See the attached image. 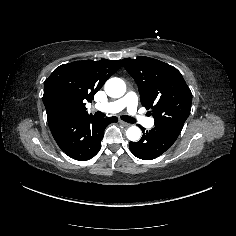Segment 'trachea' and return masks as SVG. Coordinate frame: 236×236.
I'll use <instances>...</instances> for the list:
<instances>
[{
	"instance_id": "3493384b",
	"label": "trachea",
	"mask_w": 236,
	"mask_h": 236,
	"mask_svg": "<svg viewBox=\"0 0 236 236\" xmlns=\"http://www.w3.org/2000/svg\"><path fill=\"white\" fill-rule=\"evenodd\" d=\"M95 116H96V117L103 118V117H105V114L98 111V112L95 113ZM121 119H122L123 121H126L127 123H135V122H136V119H135V118L130 117V116H128V115H122V116H121Z\"/></svg>"
}]
</instances>
